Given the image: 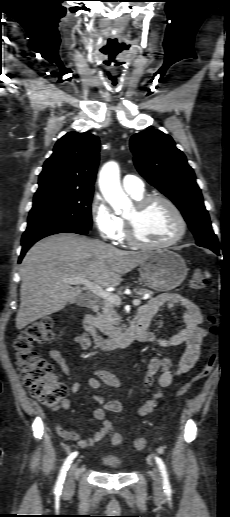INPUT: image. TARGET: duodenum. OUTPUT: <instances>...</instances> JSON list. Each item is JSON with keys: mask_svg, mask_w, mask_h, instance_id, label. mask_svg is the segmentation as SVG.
Wrapping results in <instances>:
<instances>
[{"mask_svg": "<svg viewBox=\"0 0 230 517\" xmlns=\"http://www.w3.org/2000/svg\"><path fill=\"white\" fill-rule=\"evenodd\" d=\"M99 311V304L93 303L89 307L83 319V325L87 333L93 339L95 346L103 351L117 348H125L133 342L142 341L153 318V313L147 310L137 312L127 328L113 337H103L95 326V315Z\"/></svg>", "mask_w": 230, "mask_h": 517, "instance_id": "obj_1", "label": "duodenum"}]
</instances>
